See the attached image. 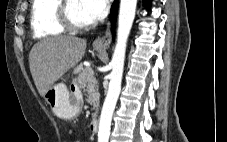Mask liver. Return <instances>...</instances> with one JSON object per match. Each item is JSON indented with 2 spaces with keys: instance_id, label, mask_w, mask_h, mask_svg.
Instances as JSON below:
<instances>
[{
  "instance_id": "liver-1",
  "label": "liver",
  "mask_w": 227,
  "mask_h": 142,
  "mask_svg": "<svg viewBox=\"0 0 227 142\" xmlns=\"http://www.w3.org/2000/svg\"><path fill=\"white\" fill-rule=\"evenodd\" d=\"M87 42L75 36H53L37 42L29 54L30 71L39 94L45 92L83 57Z\"/></svg>"
}]
</instances>
